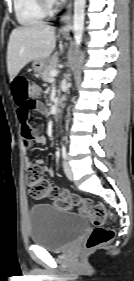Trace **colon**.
Returning a JSON list of instances; mask_svg holds the SVG:
<instances>
[{"mask_svg":"<svg viewBox=\"0 0 134 281\" xmlns=\"http://www.w3.org/2000/svg\"><path fill=\"white\" fill-rule=\"evenodd\" d=\"M28 94L32 100H37L42 94L41 86L38 83H31ZM26 184L32 197L36 199L51 198L55 201V205L61 209L77 206L82 213L89 217L95 228L86 241L87 248L94 249L106 245L113 240L114 231L104 226L109 218V214L103 205L95 204L78 195L61 191L59 188L51 185L44 177L43 169L38 165L28 167Z\"/></svg>","mask_w":134,"mask_h":281,"instance_id":"1","label":"colon"}]
</instances>
